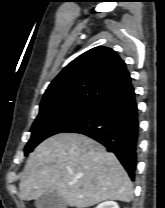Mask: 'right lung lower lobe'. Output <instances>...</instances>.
I'll return each mask as SVG.
<instances>
[{
	"instance_id": "right-lung-lower-lobe-1",
	"label": "right lung lower lobe",
	"mask_w": 165,
	"mask_h": 208,
	"mask_svg": "<svg viewBox=\"0 0 165 208\" xmlns=\"http://www.w3.org/2000/svg\"><path fill=\"white\" fill-rule=\"evenodd\" d=\"M138 109L130 83L99 102L80 122L65 132L80 133L113 152L134 180L137 163Z\"/></svg>"
}]
</instances>
